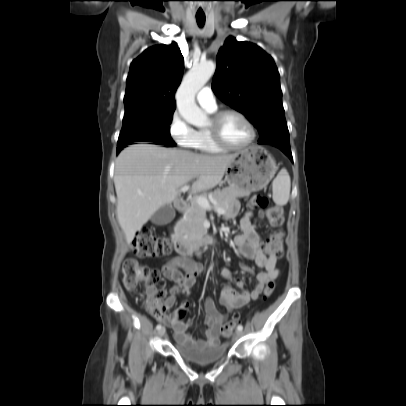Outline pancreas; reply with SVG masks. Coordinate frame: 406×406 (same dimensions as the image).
Returning <instances> with one entry per match:
<instances>
[{"label": "pancreas", "instance_id": "obj_1", "mask_svg": "<svg viewBox=\"0 0 406 406\" xmlns=\"http://www.w3.org/2000/svg\"><path fill=\"white\" fill-rule=\"evenodd\" d=\"M249 191L227 187L222 190H215L211 200L220 208L228 211L231 205L238 199L248 196ZM207 198V195H203ZM206 220V209L199 206L196 199L191 200L190 205L185 209L183 217L178 221L177 228L181 234L194 239L200 235L206 234L207 229L204 227Z\"/></svg>", "mask_w": 406, "mask_h": 406}]
</instances>
